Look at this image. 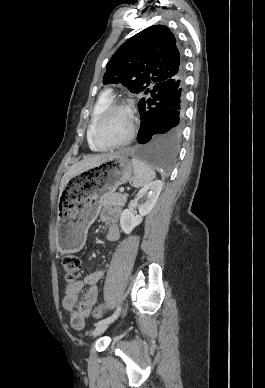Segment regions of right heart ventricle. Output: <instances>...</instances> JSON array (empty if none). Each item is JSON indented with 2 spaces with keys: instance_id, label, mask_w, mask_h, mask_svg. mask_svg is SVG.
Returning a JSON list of instances; mask_svg holds the SVG:
<instances>
[{
  "instance_id": "obj_1",
  "label": "right heart ventricle",
  "mask_w": 265,
  "mask_h": 388,
  "mask_svg": "<svg viewBox=\"0 0 265 388\" xmlns=\"http://www.w3.org/2000/svg\"><path fill=\"white\" fill-rule=\"evenodd\" d=\"M112 101H113V98H112L111 94L106 93L98 100V102L96 103V105L93 108L92 118H91V121L89 123L88 131H87V140H88L90 147L94 150L100 149V147L96 146L93 142V139H92L93 123H94L95 119L97 118V116L99 115V113L102 111V109L105 106H107L108 104L112 103Z\"/></svg>"
}]
</instances>
